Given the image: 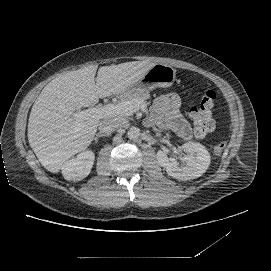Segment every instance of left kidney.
I'll list each match as a JSON object with an SVG mask.
<instances>
[{"mask_svg":"<svg viewBox=\"0 0 271 271\" xmlns=\"http://www.w3.org/2000/svg\"><path fill=\"white\" fill-rule=\"evenodd\" d=\"M182 149L187 153L182 157L185 165L179 166L175 159L170 160L161 150L157 152L158 163L175 179L185 181L200 177L210 165L208 151L202 144L196 142H186L182 145Z\"/></svg>","mask_w":271,"mask_h":271,"instance_id":"5707ae66","label":"left kidney"}]
</instances>
